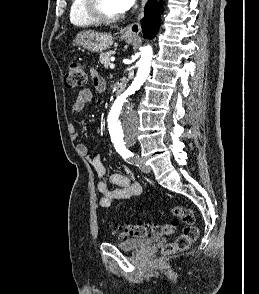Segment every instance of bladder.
<instances>
[{"label": "bladder", "mask_w": 259, "mask_h": 294, "mask_svg": "<svg viewBox=\"0 0 259 294\" xmlns=\"http://www.w3.org/2000/svg\"><path fill=\"white\" fill-rule=\"evenodd\" d=\"M160 239L159 236H153L150 238H130L123 241H119L114 243L116 247L122 251L131 252L138 251L143 247L158 241Z\"/></svg>", "instance_id": "31cf9c89"}]
</instances>
